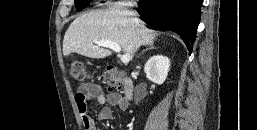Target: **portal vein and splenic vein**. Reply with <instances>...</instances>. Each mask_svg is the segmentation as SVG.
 I'll return each mask as SVG.
<instances>
[{
    "instance_id": "portal-vein-and-splenic-vein-1",
    "label": "portal vein and splenic vein",
    "mask_w": 257,
    "mask_h": 130,
    "mask_svg": "<svg viewBox=\"0 0 257 130\" xmlns=\"http://www.w3.org/2000/svg\"><path fill=\"white\" fill-rule=\"evenodd\" d=\"M95 43L101 47H105V48H110L112 49L114 52L120 53L121 52V47L119 44L109 41V40H100V41H95ZM120 60L127 64L129 63V61L131 60L130 55L128 54H124L120 56Z\"/></svg>"
}]
</instances>
